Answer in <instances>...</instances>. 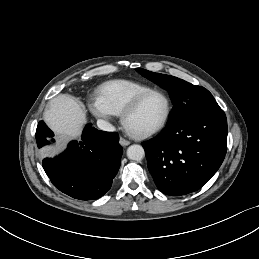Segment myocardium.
<instances>
[{
    "label": "myocardium",
    "instance_id": "myocardium-1",
    "mask_svg": "<svg viewBox=\"0 0 259 259\" xmlns=\"http://www.w3.org/2000/svg\"><path fill=\"white\" fill-rule=\"evenodd\" d=\"M152 94H161L165 100H166V112L165 115L162 119V121L154 128L143 132V133H135L130 131L127 127H126V120L127 118L134 112L136 111V109L139 107V105L150 95ZM171 112H172V101L170 96L168 95L167 92H165L164 90L161 89H150L140 95H138L137 97H135L127 106L126 108L122 111L121 115H120V121L121 124L123 126V128L126 130V132L133 138L136 139H146L149 138L157 133H159L168 123L170 116H171Z\"/></svg>",
    "mask_w": 259,
    "mask_h": 259
}]
</instances>
